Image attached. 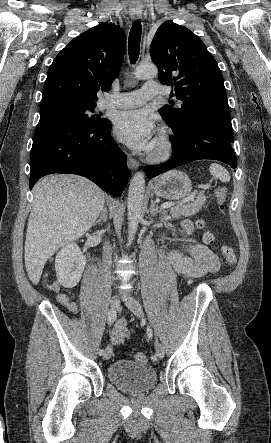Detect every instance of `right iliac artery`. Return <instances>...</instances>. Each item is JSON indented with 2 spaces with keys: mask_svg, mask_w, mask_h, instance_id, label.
<instances>
[{
  "mask_svg": "<svg viewBox=\"0 0 271 443\" xmlns=\"http://www.w3.org/2000/svg\"><path fill=\"white\" fill-rule=\"evenodd\" d=\"M115 320H116V311L111 309L108 312V316H107V323H108V325L111 326L114 323ZM103 353H104L103 349H100L99 352H98V354L100 356L103 355Z\"/></svg>",
  "mask_w": 271,
  "mask_h": 443,
  "instance_id": "1",
  "label": "right iliac artery"
}]
</instances>
